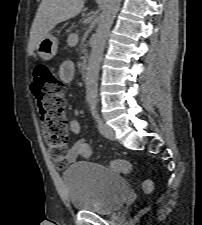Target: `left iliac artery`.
<instances>
[{
	"mask_svg": "<svg viewBox=\"0 0 202 225\" xmlns=\"http://www.w3.org/2000/svg\"><path fill=\"white\" fill-rule=\"evenodd\" d=\"M90 109H91V113H92V116L94 117V119L96 121H99L100 118H99V114L97 111V101L90 102Z\"/></svg>",
	"mask_w": 202,
	"mask_h": 225,
	"instance_id": "1",
	"label": "left iliac artery"
}]
</instances>
